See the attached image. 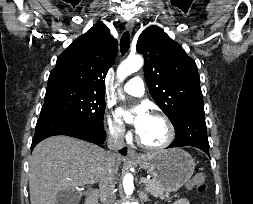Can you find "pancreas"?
Wrapping results in <instances>:
<instances>
[{
    "label": "pancreas",
    "mask_w": 253,
    "mask_h": 204,
    "mask_svg": "<svg viewBox=\"0 0 253 204\" xmlns=\"http://www.w3.org/2000/svg\"><path fill=\"white\" fill-rule=\"evenodd\" d=\"M145 190L147 193L155 196L161 197L163 199H169V192L165 191L158 183L153 180H149L148 183H145Z\"/></svg>",
    "instance_id": "cf45deb5"
}]
</instances>
